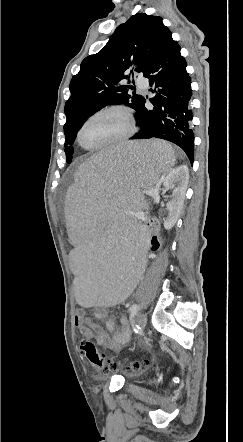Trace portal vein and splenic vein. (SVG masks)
I'll list each match as a JSON object with an SVG mask.
<instances>
[{
	"mask_svg": "<svg viewBox=\"0 0 243 442\" xmlns=\"http://www.w3.org/2000/svg\"><path fill=\"white\" fill-rule=\"evenodd\" d=\"M146 193L149 194V195L152 196V197H156V196H158V192H157V190H154V189H152V190H148V191H146Z\"/></svg>",
	"mask_w": 243,
	"mask_h": 442,
	"instance_id": "portal-vein-and-splenic-vein-1",
	"label": "portal vein and splenic vein"
}]
</instances>
